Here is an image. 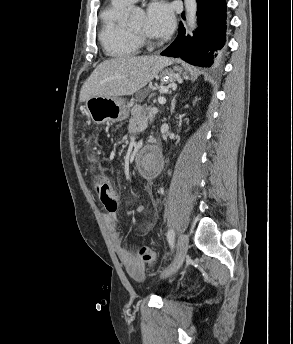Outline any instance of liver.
<instances>
[{"label": "liver", "instance_id": "1", "mask_svg": "<svg viewBox=\"0 0 293 344\" xmlns=\"http://www.w3.org/2000/svg\"><path fill=\"white\" fill-rule=\"evenodd\" d=\"M172 62L159 55L121 56L103 61L82 86L79 99L86 102L98 96L133 95Z\"/></svg>", "mask_w": 293, "mask_h": 344}]
</instances>
